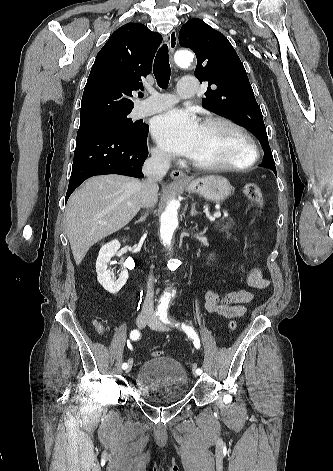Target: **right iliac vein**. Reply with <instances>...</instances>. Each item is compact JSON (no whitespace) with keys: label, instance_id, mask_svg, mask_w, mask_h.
<instances>
[{"label":"right iliac vein","instance_id":"1","mask_svg":"<svg viewBox=\"0 0 333 471\" xmlns=\"http://www.w3.org/2000/svg\"><path fill=\"white\" fill-rule=\"evenodd\" d=\"M151 320V317L146 314H140L136 319V324L139 328H144ZM133 365L132 359L128 361V366L126 368V373L131 371Z\"/></svg>","mask_w":333,"mask_h":471}]
</instances>
